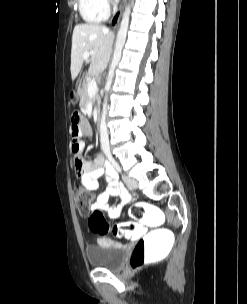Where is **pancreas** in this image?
Wrapping results in <instances>:
<instances>
[{
	"label": "pancreas",
	"mask_w": 247,
	"mask_h": 304,
	"mask_svg": "<svg viewBox=\"0 0 247 304\" xmlns=\"http://www.w3.org/2000/svg\"><path fill=\"white\" fill-rule=\"evenodd\" d=\"M89 82H90L89 80H86L82 86L83 88L81 90L78 89V94L80 96V107L82 109H85L87 107V104L89 103V101L92 102L93 107H97V102H98L97 94L93 95V97L91 99L88 94V83Z\"/></svg>",
	"instance_id": "obj_1"
}]
</instances>
